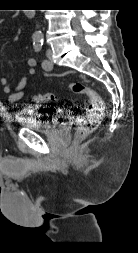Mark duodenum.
<instances>
[{
    "mask_svg": "<svg viewBox=\"0 0 138 253\" xmlns=\"http://www.w3.org/2000/svg\"><path fill=\"white\" fill-rule=\"evenodd\" d=\"M35 15V11L33 9H29L28 11H26V16L28 18H33Z\"/></svg>",
    "mask_w": 138,
    "mask_h": 253,
    "instance_id": "1",
    "label": "duodenum"
}]
</instances>
